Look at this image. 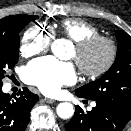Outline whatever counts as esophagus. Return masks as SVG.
<instances>
[{
  "mask_svg": "<svg viewBox=\"0 0 131 131\" xmlns=\"http://www.w3.org/2000/svg\"><path fill=\"white\" fill-rule=\"evenodd\" d=\"M44 101H45L46 103H53V102H55V100H54V99H51V98H44Z\"/></svg>",
  "mask_w": 131,
  "mask_h": 131,
  "instance_id": "obj_1",
  "label": "esophagus"
}]
</instances>
